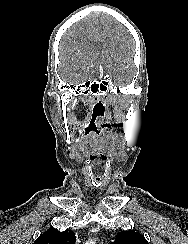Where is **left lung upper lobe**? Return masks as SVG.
Segmentation results:
<instances>
[{"mask_svg":"<svg viewBox=\"0 0 188 244\" xmlns=\"http://www.w3.org/2000/svg\"><path fill=\"white\" fill-rule=\"evenodd\" d=\"M112 244H148L144 236L135 231H121Z\"/></svg>","mask_w":188,"mask_h":244,"instance_id":"5c2ea615","label":"left lung upper lobe"}]
</instances>
